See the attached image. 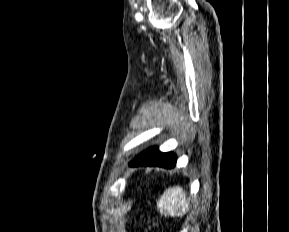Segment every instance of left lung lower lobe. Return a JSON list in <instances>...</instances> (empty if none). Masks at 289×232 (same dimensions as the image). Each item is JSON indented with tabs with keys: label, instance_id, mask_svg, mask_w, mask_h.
<instances>
[{
	"label": "left lung lower lobe",
	"instance_id": "obj_1",
	"mask_svg": "<svg viewBox=\"0 0 289 232\" xmlns=\"http://www.w3.org/2000/svg\"><path fill=\"white\" fill-rule=\"evenodd\" d=\"M129 165L172 168L176 165V156L174 153H162L157 148H150L137 156Z\"/></svg>",
	"mask_w": 289,
	"mask_h": 232
}]
</instances>
